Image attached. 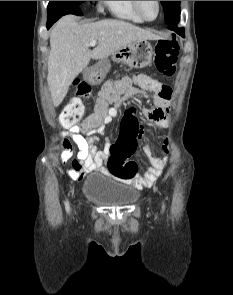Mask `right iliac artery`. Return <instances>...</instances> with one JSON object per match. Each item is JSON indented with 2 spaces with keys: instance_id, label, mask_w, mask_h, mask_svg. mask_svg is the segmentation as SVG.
<instances>
[{
  "instance_id": "82829eb1",
  "label": "right iliac artery",
  "mask_w": 233,
  "mask_h": 295,
  "mask_svg": "<svg viewBox=\"0 0 233 295\" xmlns=\"http://www.w3.org/2000/svg\"><path fill=\"white\" fill-rule=\"evenodd\" d=\"M65 208H66V211L69 212L70 207H69V202L68 201L65 202Z\"/></svg>"
}]
</instances>
